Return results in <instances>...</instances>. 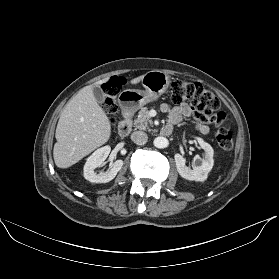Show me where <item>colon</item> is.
Instances as JSON below:
<instances>
[{"instance_id":"1","label":"colon","mask_w":279,"mask_h":279,"mask_svg":"<svg viewBox=\"0 0 279 279\" xmlns=\"http://www.w3.org/2000/svg\"><path fill=\"white\" fill-rule=\"evenodd\" d=\"M124 85L123 78H113L103 87L105 93L103 109L109 115L112 125L117 123L116 96ZM170 99L174 104L188 103L193 110V115L200 122L211 123L217 128L214 136L218 145L224 150L232 149L233 134L223 126L226 114L222 111L220 100L212 91L199 83L176 81L171 86Z\"/></svg>"}]
</instances>
